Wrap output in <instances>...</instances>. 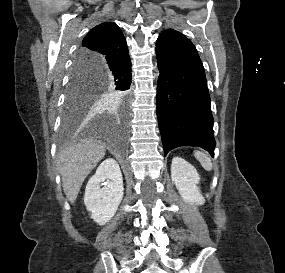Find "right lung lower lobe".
<instances>
[{
  "instance_id": "obj_1",
  "label": "right lung lower lobe",
  "mask_w": 285,
  "mask_h": 273,
  "mask_svg": "<svg viewBox=\"0 0 285 273\" xmlns=\"http://www.w3.org/2000/svg\"><path fill=\"white\" fill-rule=\"evenodd\" d=\"M92 70L100 78V84L107 85L114 91L123 92L130 88L131 61L129 53L123 58L93 65ZM121 124L125 126L124 119L121 120Z\"/></svg>"
}]
</instances>
